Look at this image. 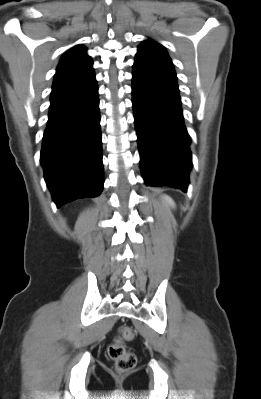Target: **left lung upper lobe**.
I'll return each mask as SVG.
<instances>
[{"label":"left lung upper lobe","instance_id":"obj_1","mask_svg":"<svg viewBox=\"0 0 261 399\" xmlns=\"http://www.w3.org/2000/svg\"><path fill=\"white\" fill-rule=\"evenodd\" d=\"M135 64L151 66L170 72H175L173 63L164 47L160 44L146 40L138 47Z\"/></svg>","mask_w":261,"mask_h":399}]
</instances>
